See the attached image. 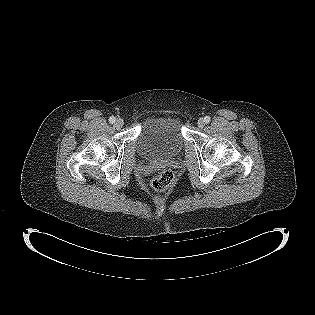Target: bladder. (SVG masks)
Returning <instances> with one entry per match:
<instances>
[{
	"label": "bladder",
	"instance_id": "1",
	"mask_svg": "<svg viewBox=\"0 0 315 315\" xmlns=\"http://www.w3.org/2000/svg\"><path fill=\"white\" fill-rule=\"evenodd\" d=\"M184 145L183 123L174 114L148 119L137 138L140 155L150 161L174 158Z\"/></svg>",
	"mask_w": 315,
	"mask_h": 315
}]
</instances>
